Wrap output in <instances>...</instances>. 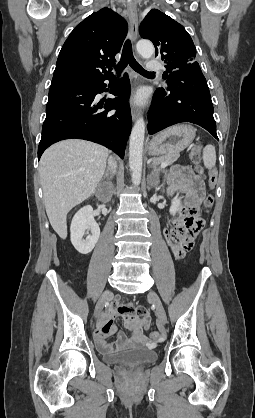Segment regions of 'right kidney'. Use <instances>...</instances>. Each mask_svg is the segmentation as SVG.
Here are the masks:
<instances>
[{
	"label": "right kidney",
	"instance_id": "1",
	"mask_svg": "<svg viewBox=\"0 0 255 418\" xmlns=\"http://www.w3.org/2000/svg\"><path fill=\"white\" fill-rule=\"evenodd\" d=\"M90 231L85 239V231ZM71 242L81 254L90 253L100 236L99 225L94 220L93 208L90 205L81 208L73 217L70 227Z\"/></svg>",
	"mask_w": 255,
	"mask_h": 418
}]
</instances>
